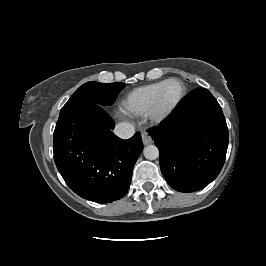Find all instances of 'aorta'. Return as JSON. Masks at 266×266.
Instances as JSON below:
<instances>
[{"instance_id":"1","label":"aorta","mask_w":266,"mask_h":266,"mask_svg":"<svg viewBox=\"0 0 266 266\" xmlns=\"http://www.w3.org/2000/svg\"><path fill=\"white\" fill-rule=\"evenodd\" d=\"M144 157L148 160H155L159 157V150L155 145H148L143 150Z\"/></svg>"}]
</instances>
